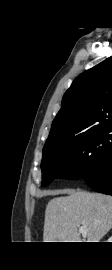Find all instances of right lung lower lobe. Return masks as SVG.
Wrapping results in <instances>:
<instances>
[{"label":"right lung lower lobe","instance_id":"1","mask_svg":"<svg viewBox=\"0 0 112 270\" xmlns=\"http://www.w3.org/2000/svg\"><path fill=\"white\" fill-rule=\"evenodd\" d=\"M84 180L93 190L112 196V147L106 152L100 166L88 172Z\"/></svg>","mask_w":112,"mask_h":270}]
</instances>
